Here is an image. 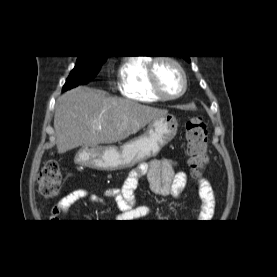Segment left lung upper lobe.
<instances>
[{
	"mask_svg": "<svg viewBox=\"0 0 277 277\" xmlns=\"http://www.w3.org/2000/svg\"><path fill=\"white\" fill-rule=\"evenodd\" d=\"M183 58H184L185 60H187L188 62H190L189 56H183Z\"/></svg>",
	"mask_w": 277,
	"mask_h": 277,
	"instance_id": "left-lung-upper-lobe-1",
	"label": "left lung upper lobe"
}]
</instances>
